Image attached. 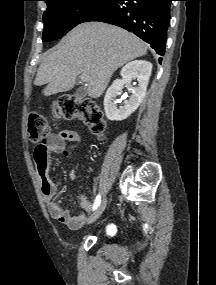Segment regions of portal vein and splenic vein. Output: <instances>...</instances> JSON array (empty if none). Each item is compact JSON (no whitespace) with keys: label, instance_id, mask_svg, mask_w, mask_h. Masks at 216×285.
<instances>
[{"label":"portal vein and splenic vein","instance_id":"portal-vein-and-splenic-vein-1","mask_svg":"<svg viewBox=\"0 0 216 285\" xmlns=\"http://www.w3.org/2000/svg\"><path fill=\"white\" fill-rule=\"evenodd\" d=\"M80 79H81L82 81H86V78H85L84 75L80 76Z\"/></svg>","mask_w":216,"mask_h":285}]
</instances>
